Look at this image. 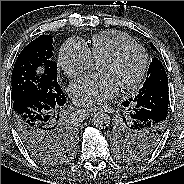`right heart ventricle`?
Masks as SVG:
<instances>
[{
	"instance_id": "obj_1",
	"label": "right heart ventricle",
	"mask_w": 184,
	"mask_h": 184,
	"mask_svg": "<svg viewBox=\"0 0 184 184\" xmlns=\"http://www.w3.org/2000/svg\"><path fill=\"white\" fill-rule=\"evenodd\" d=\"M131 43H135V41L126 33L108 30L95 34L88 48L92 60L99 62L119 47Z\"/></svg>"
}]
</instances>
